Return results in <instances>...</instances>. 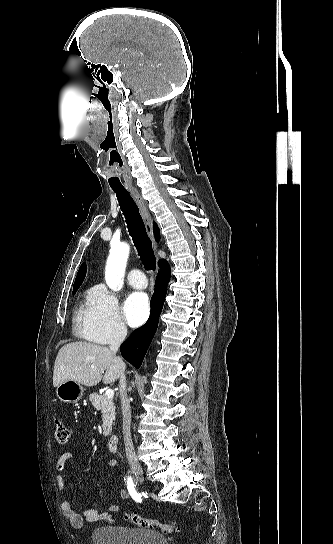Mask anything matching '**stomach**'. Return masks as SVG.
<instances>
[{"label":"stomach","mask_w":333,"mask_h":544,"mask_svg":"<svg viewBox=\"0 0 333 544\" xmlns=\"http://www.w3.org/2000/svg\"><path fill=\"white\" fill-rule=\"evenodd\" d=\"M83 392L82 385L73 380H67L56 387V397L65 403H77Z\"/></svg>","instance_id":"stomach-1"}]
</instances>
